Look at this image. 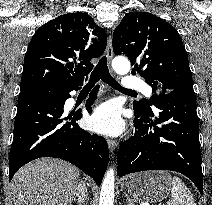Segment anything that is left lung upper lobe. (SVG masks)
<instances>
[{
    "label": "left lung upper lobe",
    "instance_id": "obj_1",
    "mask_svg": "<svg viewBox=\"0 0 212 205\" xmlns=\"http://www.w3.org/2000/svg\"><path fill=\"white\" fill-rule=\"evenodd\" d=\"M113 51L125 54L136 72L153 86L151 101L142 99L133 107L151 110L167 90H193L188 56L177 30L165 20L147 12H129L116 27ZM156 82V83H155Z\"/></svg>",
    "mask_w": 212,
    "mask_h": 205
}]
</instances>
